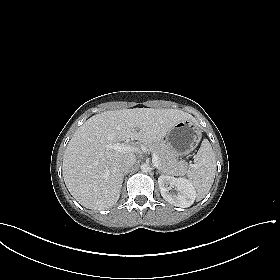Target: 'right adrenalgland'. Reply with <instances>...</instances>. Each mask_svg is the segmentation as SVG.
Here are the masks:
<instances>
[{
  "label": "right adrenal gland",
  "mask_w": 280,
  "mask_h": 280,
  "mask_svg": "<svg viewBox=\"0 0 280 280\" xmlns=\"http://www.w3.org/2000/svg\"><path fill=\"white\" fill-rule=\"evenodd\" d=\"M127 174H128V171H127V172H124V173H123V177L126 176Z\"/></svg>",
  "instance_id": "right-adrenal-gland-1"
}]
</instances>
